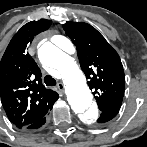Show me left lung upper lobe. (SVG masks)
<instances>
[{
	"label": "left lung upper lobe",
	"mask_w": 147,
	"mask_h": 147,
	"mask_svg": "<svg viewBox=\"0 0 147 147\" xmlns=\"http://www.w3.org/2000/svg\"><path fill=\"white\" fill-rule=\"evenodd\" d=\"M63 28L76 46L81 69L100 111L119 110L124 95L125 76L117 52L87 23L67 22Z\"/></svg>",
	"instance_id": "1"
}]
</instances>
